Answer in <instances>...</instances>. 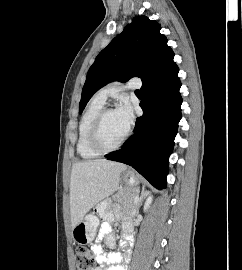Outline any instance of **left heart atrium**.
<instances>
[{
  "label": "left heart atrium",
  "instance_id": "1",
  "mask_svg": "<svg viewBox=\"0 0 242 270\" xmlns=\"http://www.w3.org/2000/svg\"><path fill=\"white\" fill-rule=\"evenodd\" d=\"M116 112L118 113L124 127L128 130L133 122V110L128 101H123Z\"/></svg>",
  "mask_w": 242,
  "mask_h": 270
}]
</instances>
